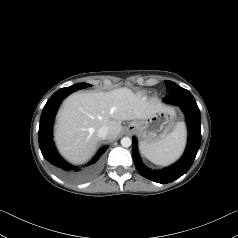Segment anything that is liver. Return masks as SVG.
<instances>
[{
	"mask_svg": "<svg viewBox=\"0 0 238 238\" xmlns=\"http://www.w3.org/2000/svg\"><path fill=\"white\" fill-rule=\"evenodd\" d=\"M163 108L128 88L75 93L64 101L58 114L55 142L68 161L79 164L95 152L99 128L106 126L107 139L114 140L122 131L121 121L144 119Z\"/></svg>",
	"mask_w": 238,
	"mask_h": 238,
	"instance_id": "6515ba94",
	"label": "liver"
}]
</instances>
